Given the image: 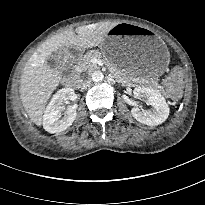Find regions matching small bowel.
Listing matches in <instances>:
<instances>
[{
    "mask_svg": "<svg viewBox=\"0 0 205 205\" xmlns=\"http://www.w3.org/2000/svg\"><path fill=\"white\" fill-rule=\"evenodd\" d=\"M181 81V73L178 70H174L164 79V85L173 98L178 97L181 92Z\"/></svg>",
    "mask_w": 205,
    "mask_h": 205,
    "instance_id": "1",
    "label": "small bowel"
}]
</instances>
